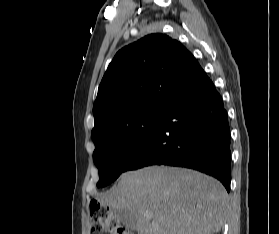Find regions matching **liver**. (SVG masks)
<instances>
[{
	"label": "liver",
	"mask_w": 279,
	"mask_h": 234,
	"mask_svg": "<svg viewBox=\"0 0 279 234\" xmlns=\"http://www.w3.org/2000/svg\"><path fill=\"white\" fill-rule=\"evenodd\" d=\"M99 201L111 210H128L138 234H214L227 220L229 198L224 186L205 174L152 166L123 173Z\"/></svg>",
	"instance_id": "obj_1"
}]
</instances>
